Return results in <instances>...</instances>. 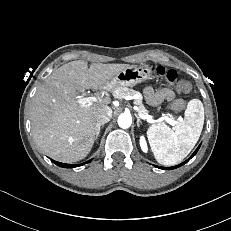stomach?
Instances as JSON below:
<instances>
[{"instance_id": "stomach-1", "label": "stomach", "mask_w": 231, "mask_h": 231, "mask_svg": "<svg viewBox=\"0 0 231 231\" xmlns=\"http://www.w3.org/2000/svg\"><path fill=\"white\" fill-rule=\"evenodd\" d=\"M151 69L145 65H131L117 73L110 81L114 87H133L151 76Z\"/></svg>"}]
</instances>
